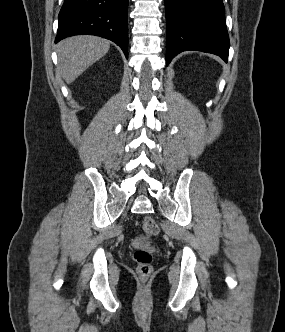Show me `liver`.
Returning <instances> with one entry per match:
<instances>
[{"mask_svg": "<svg viewBox=\"0 0 285 332\" xmlns=\"http://www.w3.org/2000/svg\"><path fill=\"white\" fill-rule=\"evenodd\" d=\"M110 49L106 39L79 35L61 41L57 46L58 71L66 83H72Z\"/></svg>", "mask_w": 285, "mask_h": 332, "instance_id": "1", "label": "liver"}]
</instances>
